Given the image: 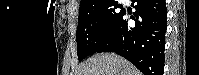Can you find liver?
<instances>
[{
	"label": "liver",
	"mask_w": 199,
	"mask_h": 75,
	"mask_svg": "<svg viewBox=\"0 0 199 75\" xmlns=\"http://www.w3.org/2000/svg\"><path fill=\"white\" fill-rule=\"evenodd\" d=\"M76 75H141L130 62L110 53L89 58L79 66Z\"/></svg>",
	"instance_id": "obj_1"
}]
</instances>
